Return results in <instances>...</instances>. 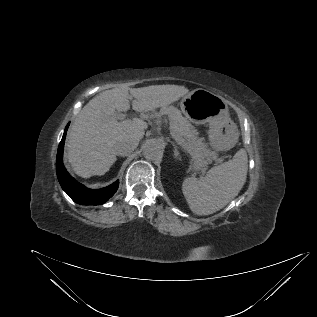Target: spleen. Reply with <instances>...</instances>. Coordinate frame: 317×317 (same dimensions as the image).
Listing matches in <instances>:
<instances>
[{"mask_svg":"<svg viewBox=\"0 0 317 317\" xmlns=\"http://www.w3.org/2000/svg\"><path fill=\"white\" fill-rule=\"evenodd\" d=\"M247 163V153L240 149L232 160L212 167L204 177L186 178L182 192L190 209L198 215H209L225 207L242 189Z\"/></svg>","mask_w":317,"mask_h":317,"instance_id":"3e777b00","label":"spleen"}]
</instances>
